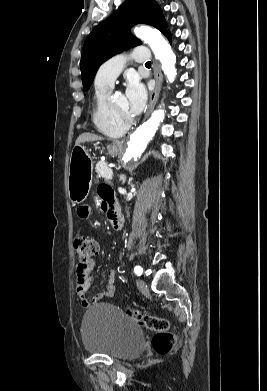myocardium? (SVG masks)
I'll return each mask as SVG.
<instances>
[{
  "mask_svg": "<svg viewBox=\"0 0 267 391\" xmlns=\"http://www.w3.org/2000/svg\"><path fill=\"white\" fill-rule=\"evenodd\" d=\"M109 110H110L113 118L115 119V121L124 127H128L134 121L133 117H126L123 114H121L120 112H118L111 103L109 104Z\"/></svg>",
  "mask_w": 267,
  "mask_h": 391,
  "instance_id": "obj_1",
  "label": "myocardium"
}]
</instances>
